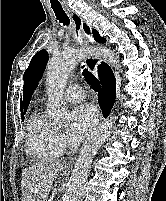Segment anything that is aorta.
I'll return each instance as SVG.
<instances>
[{
  "label": "aorta",
  "mask_w": 166,
  "mask_h": 201,
  "mask_svg": "<svg viewBox=\"0 0 166 201\" xmlns=\"http://www.w3.org/2000/svg\"><path fill=\"white\" fill-rule=\"evenodd\" d=\"M93 53L101 54L109 65L118 69L120 68L119 58L107 48L87 47L84 49H69L49 61L46 74V83L48 86L47 106L48 114L54 122H67L68 110L63 101V91L68 76L85 56L92 55ZM114 123V117L105 120L85 142L67 186L64 201H80L92 160L101 145L109 138Z\"/></svg>",
  "instance_id": "obj_1"
}]
</instances>
